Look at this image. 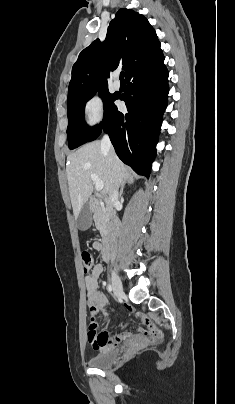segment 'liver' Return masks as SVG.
Instances as JSON below:
<instances>
[{
	"instance_id": "1",
	"label": "liver",
	"mask_w": 235,
	"mask_h": 404,
	"mask_svg": "<svg viewBox=\"0 0 235 404\" xmlns=\"http://www.w3.org/2000/svg\"><path fill=\"white\" fill-rule=\"evenodd\" d=\"M66 174L76 218L93 192L91 174L97 175L103 182L105 196L131 176L129 169L116 155L102 149L100 141L87 143L70 154L67 157Z\"/></svg>"
}]
</instances>
